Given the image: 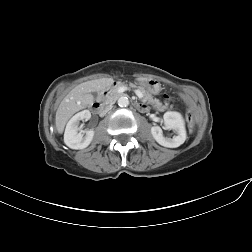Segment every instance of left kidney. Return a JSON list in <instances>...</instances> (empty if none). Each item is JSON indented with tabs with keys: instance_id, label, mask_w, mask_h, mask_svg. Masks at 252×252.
<instances>
[{
	"instance_id": "left-kidney-1",
	"label": "left kidney",
	"mask_w": 252,
	"mask_h": 252,
	"mask_svg": "<svg viewBox=\"0 0 252 252\" xmlns=\"http://www.w3.org/2000/svg\"><path fill=\"white\" fill-rule=\"evenodd\" d=\"M165 129L173 130L177 135L173 138L165 137L159 126L151 128V134L157 143L164 147L176 148L182 145L186 140V131L184 121L180 113L168 111L163 116Z\"/></svg>"
}]
</instances>
